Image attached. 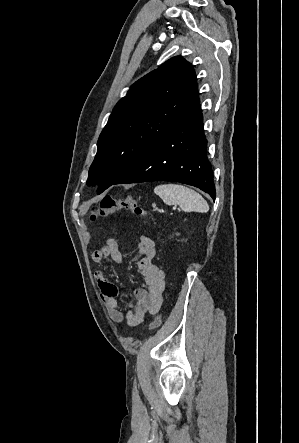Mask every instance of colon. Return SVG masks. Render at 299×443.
Here are the masks:
<instances>
[{"label": "colon", "mask_w": 299, "mask_h": 443, "mask_svg": "<svg viewBox=\"0 0 299 443\" xmlns=\"http://www.w3.org/2000/svg\"><path fill=\"white\" fill-rule=\"evenodd\" d=\"M118 211H129L136 215L147 216V211L139 204L136 198L129 196L115 199L109 195L101 198L99 204L91 210V220L107 217ZM162 324V315L158 314L149 324V329L154 330Z\"/></svg>", "instance_id": "5ec220e1"}]
</instances>
